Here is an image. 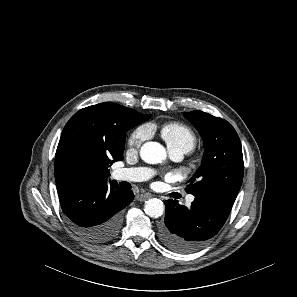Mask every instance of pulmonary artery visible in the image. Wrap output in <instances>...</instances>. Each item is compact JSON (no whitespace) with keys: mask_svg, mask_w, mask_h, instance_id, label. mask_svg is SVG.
Returning a JSON list of instances; mask_svg holds the SVG:
<instances>
[{"mask_svg":"<svg viewBox=\"0 0 297 297\" xmlns=\"http://www.w3.org/2000/svg\"><path fill=\"white\" fill-rule=\"evenodd\" d=\"M190 150L185 147L169 148L171 157L175 160L181 159ZM113 178L119 181H144L150 178L152 171L144 167L119 168L113 172ZM194 196L189 195L187 202L191 203Z\"/></svg>","mask_w":297,"mask_h":297,"instance_id":"1","label":"pulmonary artery"}]
</instances>
